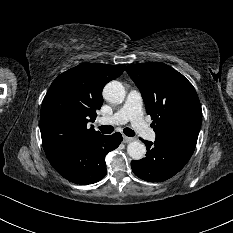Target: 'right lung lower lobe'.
Instances as JSON below:
<instances>
[{"label": "right lung lower lobe", "mask_w": 233, "mask_h": 233, "mask_svg": "<svg viewBox=\"0 0 233 233\" xmlns=\"http://www.w3.org/2000/svg\"><path fill=\"white\" fill-rule=\"evenodd\" d=\"M123 140L120 133L97 135L46 152L54 169L67 180L80 185L100 181L107 173L105 156Z\"/></svg>", "instance_id": "98d812e1"}]
</instances>
